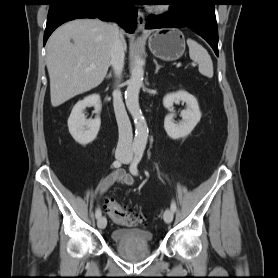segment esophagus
<instances>
[{
	"label": "esophagus",
	"instance_id": "obj_1",
	"mask_svg": "<svg viewBox=\"0 0 278 278\" xmlns=\"http://www.w3.org/2000/svg\"><path fill=\"white\" fill-rule=\"evenodd\" d=\"M137 30L139 32H145V15L142 11H138L137 15Z\"/></svg>",
	"mask_w": 278,
	"mask_h": 278
}]
</instances>
